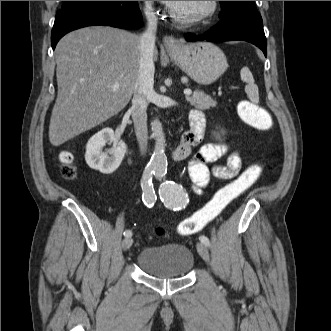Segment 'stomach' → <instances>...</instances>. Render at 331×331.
<instances>
[{
  "mask_svg": "<svg viewBox=\"0 0 331 331\" xmlns=\"http://www.w3.org/2000/svg\"><path fill=\"white\" fill-rule=\"evenodd\" d=\"M170 54L188 76L202 85L215 82L228 67L223 51L210 42L181 44Z\"/></svg>",
  "mask_w": 331,
  "mask_h": 331,
  "instance_id": "obj_1",
  "label": "stomach"
}]
</instances>
